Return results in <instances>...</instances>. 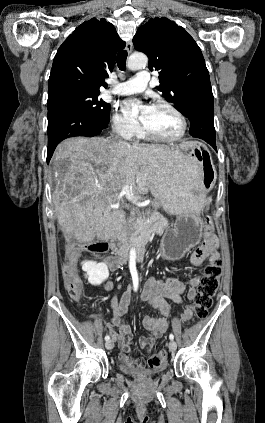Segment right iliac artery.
Segmentation results:
<instances>
[{"mask_svg":"<svg viewBox=\"0 0 265 423\" xmlns=\"http://www.w3.org/2000/svg\"><path fill=\"white\" fill-rule=\"evenodd\" d=\"M130 272H131V275H132L134 291H137L138 284H139V278H138V273H137L135 265L130 266ZM109 339H110V337L108 335L105 336L106 341H108Z\"/></svg>","mask_w":265,"mask_h":423,"instance_id":"right-iliac-artery-1","label":"right iliac artery"}]
</instances>
